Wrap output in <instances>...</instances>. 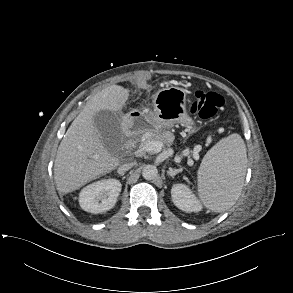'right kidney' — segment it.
I'll return each mask as SVG.
<instances>
[{"mask_svg": "<svg viewBox=\"0 0 293 293\" xmlns=\"http://www.w3.org/2000/svg\"><path fill=\"white\" fill-rule=\"evenodd\" d=\"M122 185L117 179H104L84 187L79 194L80 207L90 213H103L114 207Z\"/></svg>", "mask_w": 293, "mask_h": 293, "instance_id": "right-kidney-1", "label": "right kidney"}]
</instances>
